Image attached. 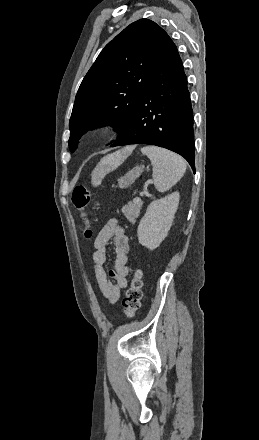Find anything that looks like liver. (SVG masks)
Masks as SVG:
<instances>
[{"mask_svg":"<svg viewBox=\"0 0 259 440\" xmlns=\"http://www.w3.org/2000/svg\"><path fill=\"white\" fill-rule=\"evenodd\" d=\"M134 147H126L122 150H119L115 153L109 154L105 156L99 164L97 165L94 171V180L96 183H100L104 176L118 166H120L123 161L127 158V156L133 151Z\"/></svg>","mask_w":259,"mask_h":440,"instance_id":"1","label":"liver"}]
</instances>
